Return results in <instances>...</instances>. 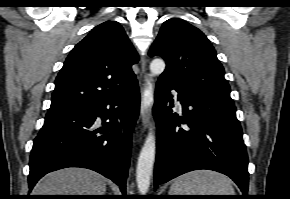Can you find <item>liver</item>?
I'll return each mask as SVG.
<instances>
[{"instance_id": "6515ba94", "label": "liver", "mask_w": 290, "mask_h": 199, "mask_svg": "<svg viewBox=\"0 0 290 199\" xmlns=\"http://www.w3.org/2000/svg\"><path fill=\"white\" fill-rule=\"evenodd\" d=\"M106 180L82 168H66L47 174L34 187L33 195H104Z\"/></svg>"}]
</instances>
